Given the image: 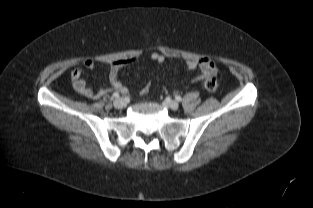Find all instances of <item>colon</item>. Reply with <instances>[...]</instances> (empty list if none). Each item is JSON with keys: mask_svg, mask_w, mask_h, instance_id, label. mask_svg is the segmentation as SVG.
<instances>
[{"mask_svg": "<svg viewBox=\"0 0 313 208\" xmlns=\"http://www.w3.org/2000/svg\"><path fill=\"white\" fill-rule=\"evenodd\" d=\"M204 87L210 91L215 92L219 88L218 77L216 73H212L204 79ZM149 91V84L143 87L142 93H147Z\"/></svg>", "mask_w": 313, "mask_h": 208, "instance_id": "obj_1", "label": "colon"}]
</instances>
